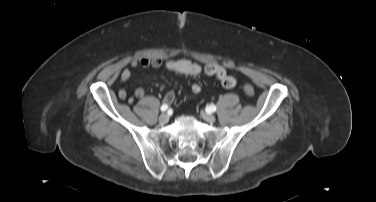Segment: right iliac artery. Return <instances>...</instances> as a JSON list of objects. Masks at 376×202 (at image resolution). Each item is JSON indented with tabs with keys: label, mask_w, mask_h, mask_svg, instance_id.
<instances>
[{
	"label": "right iliac artery",
	"mask_w": 376,
	"mask_h": 202,
	"mask_svg": "<svg viewBox=\"0 0 376 202\" xmlns=\"http://www.w3.org/2000/svg\"><path fill=\"white\" fill-rule=\"evenodd\" d=\"M160 109H161V111L165 112L168 109V105L163 104Z\"/></svg>",
	"instance_id": "obj_1"
}]
</instances>
